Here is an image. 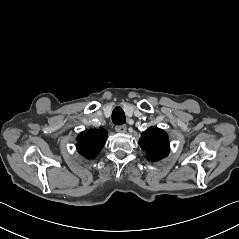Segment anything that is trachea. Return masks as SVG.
I'll return each instance as SVG.
<instances>
[{"label": "trachea", "instance_id": "1", "mask_svg": "<svg viewBox=\"0 0 239 239\" xmlns=\"http://www.w3.org/2000/svg\"><path fill=\"white\" fill-rule=\"evenodd\" d=\"M112 121L114 124H117V125H122L126 122L125 113L120 106H117L113 109Z\"/></svg>", "mask_w": 239, "mask_h": 239}]
</instances>
